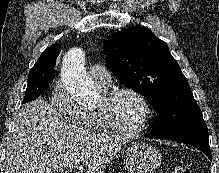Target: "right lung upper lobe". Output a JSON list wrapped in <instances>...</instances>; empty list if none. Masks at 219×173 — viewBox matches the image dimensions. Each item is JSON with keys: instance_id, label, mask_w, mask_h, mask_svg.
Masks as SVG:
<instances>
[{"instance_id": "obj_1", "label": "right lung upper lobe", "mask_w": 219, "mask_h": 173, "mask_svg": "<svg viewBox=\"0 0 219 173\" xmlns=\"http://www.w3.org/2000/svg\"><path fill=\"white\" fill-rule=\"evenodd\" d=\"M61 51L59 44H54L47 48L39 57L38 61L31 68L33 70H42L46 74L55 75V60Z\"/></svg>"}]
</instances>
